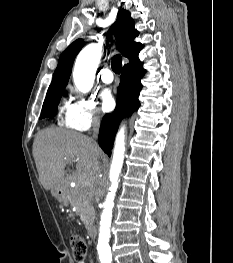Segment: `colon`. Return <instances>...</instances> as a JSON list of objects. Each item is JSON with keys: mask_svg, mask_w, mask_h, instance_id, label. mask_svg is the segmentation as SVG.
Listing matches in <instances>:
<instances>
[{"mask_svg": "<svg viewBox=\"0 0 233 263\" xmlns=\"http://www.w3.org/2000/svg\"><path fill=\"white\" fill-rule=\"evenodd\" d=\"M70 243L73 251V257L77 261H82L87 254V244L84 238L79 234L70 236Z\"/></svg>", "mask_w": 233, "mask_h": 263, "instance_id": "5ec220e1", "label": "colon"}]
</instances>
